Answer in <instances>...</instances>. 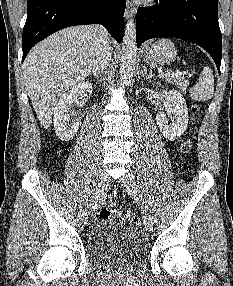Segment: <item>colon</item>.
<instances>
[{
    "mask_svg": "<svg viewBox=\"0 0 233 286\" xmlns=\"http://www.w3.org/2000/svg\"><path fill=\"white\" fill-rule=\"evenodd\" d=\"M196 112V108H193ZM190 148L189 143H185L183 149L184 152H188ZM100 218H112L115 214V205L108 201L100 209ZM118 218L123 222H128L129 224L139 227L141 225L139 217L129 209H122L118 212Z\"/></svg>",
    "mask_w": 233,
    "mask_h": 286,
    "instance_id": "obj_1",
    "label": "colon"
}]
</instances>
